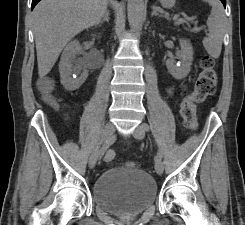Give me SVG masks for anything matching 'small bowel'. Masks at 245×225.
Instances as JSON below:
<instances>
[{
    "label": "small bowel",
    "mask_w": 245,
    "mask_h": 225,
    "mask_svg": "<svg viewBox=\"0 0 245 225\" xmlns=\"http://www.w3.org/2000/svg\"><path fill=\"white\" fill-rule=\"evenodd\" d=\"M51 82H52L51 78L43 77V78L39 79L38 85L43 86V85L51 84ZM171 90H172V87H169L168 92H171ZM110 152L114 153L113 151H110Z\"/></svg>",
    "instance_id": "small-bowel-1"
}]
</instances>
